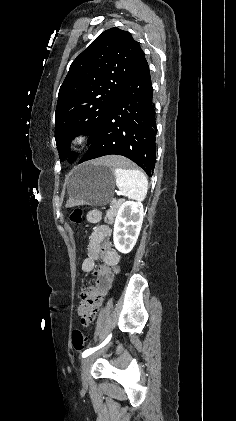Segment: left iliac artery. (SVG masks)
Segmentation results:
<instances>
[{"instance_id": "obj_1", "label": "left iliac artery", "mask_w": 236, "mask_h": 421, "mask_svg": "<svg viewBox=\"0 0 236 421\" xmlns=\"http://www.w3.org/2000/svg\"><path fill=\"white\" fill-rule=\"evenodd\" d=\"M111 337H112V335L110 334V335L106 338V340H105V341H104L101 345H99L98 347L89 348V349L85 350V351L82 353V357H83V358H85V357L89 356L90 354H92L93 352H95L96 350H98V349H100L101 347L105 346V345H106V344L110 341Z\"/></svg>"}]
</instances>
